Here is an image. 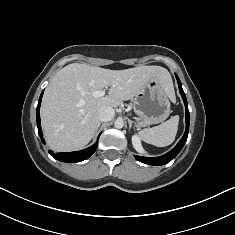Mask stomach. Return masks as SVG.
Listing matches in <instances>:
<instances>
[{
    "mask_svg": "<svg viewBox=\"0 0 235 235\" xmlns=\"http://www.w3.org/2000/svg\"><path fill=\"white\" fill-rule=\"evenodd\" d=\"M138 126L163 122L171 113L169 95L159 79L149 81L133 99Z\"/></svg>",
    "mask_w": 235,
    "mask_h": 235,
    "instance_id": "obj_1",
    "label": "stomach"
}]
</instances>
